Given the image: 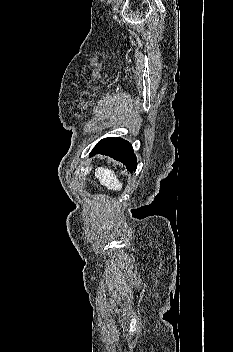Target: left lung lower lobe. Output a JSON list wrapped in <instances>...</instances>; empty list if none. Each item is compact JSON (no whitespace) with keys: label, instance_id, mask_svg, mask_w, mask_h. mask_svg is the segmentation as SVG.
I'll use <instances>...</instances> for the list:
<instances>
[{"label":"left lung lower lobe","instance_id":"obj_1","mask_svg":"<svg viewBox=\"0 0 233 352\" xmlns=\"http://www.w3.org/2000/svg\"><path fill=\"white\" fill-rule=\"evenodd\" d=\"M95 154H103L122 162L131 173L136 171L137 161L132 145L122 138L109 137L102 139L93 148L90 156Z\"/></svg>","mask_w":233,"mask_h":352}]
</instances>
